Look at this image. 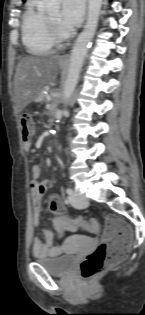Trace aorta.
<instances>
[{
	"label": "aorta",
	"mask_w": 145,
	"mask_h": 315,
	"mask_svg": "<svg viewBox=\"0 0 145 315\" xmlns=\"http://www.w3.org/2000/svg\"><path fill=\"white\" fill-rule=\"evenodd\" d=\"M44 7L47 12H58L60 8L59 0H45ZM101 7L102 0H88L86 24L84 30L78 36L70 56L68 74L63 91V103L65 106L69 103L78 83L85 56L96 32ZM66 113L67 110L64 109L63 114Z\"/></svg>",
	"instance_id": "1"
}]
</instances>
